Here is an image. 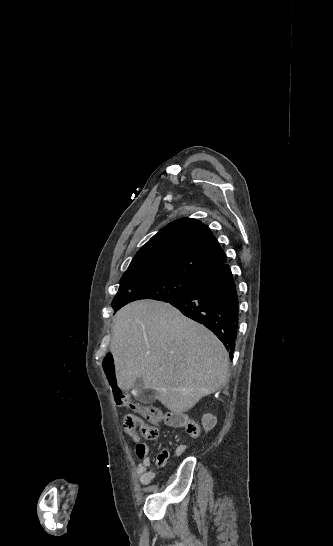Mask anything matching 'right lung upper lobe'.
<instances>
[{"label":"right lung upper lobe","instance_id":"right-lung-upper-lobe-1","mask_svg":"<svg viewBox=\"0 0 333 546\" xmlns=\"http://www.w3.org/2000/svg\"><path fill=\"white\" fill-rule=\"evenodd\" d=\"M226 261L208 226L196 219L181 218L154 235L137 252L123 275L169 272L201 279Z\"/></svg>","mask_w":333,"mask_h":546}]
</instances>
